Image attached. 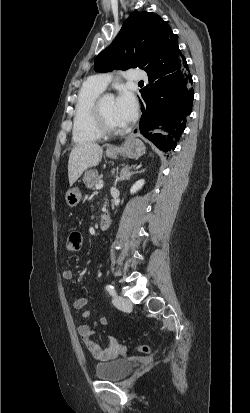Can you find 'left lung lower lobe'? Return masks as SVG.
Wrapping results in <instances>:
<instances>
[{
    "instance_id": "0a47b994",
    "label": "left lung lower lobe",
    "mask_w": 250,
    "mask_h": 413,
    "mask_svg": "<svg viewBox=\"0 0 250 413\" xmlns=\"http://www.w3.org/2000/svg\"><path fill=\"white\" fill-rule=\"evenodd\" d=\"M149 84L140 90L142 116L139 132L164 152L174 150L193 102L192 79L177 41L156 48Z\"/></svg>"
}]
</instances>
